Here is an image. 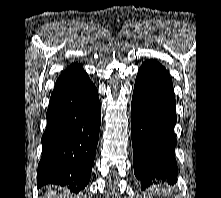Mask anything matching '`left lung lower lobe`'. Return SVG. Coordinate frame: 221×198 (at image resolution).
I'll return each mask as SVG.
<instances>
[{"mask_svg": "<svg viewBox=\"0 0 221 198\" xmlns=\"http://www.w3.org/2000/svg\"><path fill=\"white\" fill-rule=\"evenodd\" d=\"M176 119L169 72L157 61L146 60L138 71L131 105L134 173L143 189L155 179L177 182Z\"/></svg>", "mask_w": 221, "mask_h": 198, "instance_id": "obj_1", "label": "left lung lower lobe"}]
</instances>
